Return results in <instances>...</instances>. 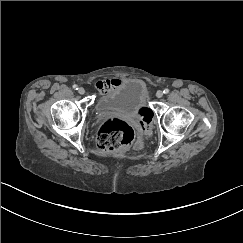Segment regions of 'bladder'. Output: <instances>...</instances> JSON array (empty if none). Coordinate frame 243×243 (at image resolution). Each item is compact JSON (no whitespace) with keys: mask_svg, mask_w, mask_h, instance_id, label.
Returning <instances> with one entry per match:
<instances>
[{"mask_svg":"<svg viewBox=\"0 0 243 243\" xmlns=\"http://www.w3.org/2000/svg\"><path fill=\"white\" fill-rule=\"evenodd\" d=\"M147 87L139 78L124 79L117 87L102 95L95 102L99 113H115L138 118L145 108Z\"/></svg>","mask_w":243,"mask_h":243,"instance_id":"31cf9c89","label":"bladder"}]
</instances>
